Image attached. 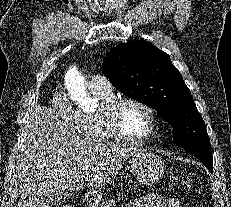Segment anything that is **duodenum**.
I'll use <instances>...</instances> for the list:
<instances>
[{
    "instance_id": "410a0bca",
    "label": "duodenum",
    "mask_w": 231,
    "mask_h": 207,
    "mask_svg": "<svg viewBox=\"0 0 231 207\" xmlns=\"http://www.w3.org/2000/svg\"><path fill=\"white\" fill-rule=\"evenodd\" d=\"M96 199V194L93 193V192H88L85 194V203L87 205H91L93 204V202L95 201Z\"/></svg>"
}]
</instances>
